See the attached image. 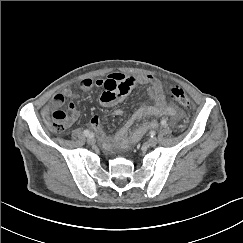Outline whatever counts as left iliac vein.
<instances>
[{"mask_svg": "<svg viewBox=\"0 0 243 243\" xmlns=\"http://www.w3.org/2000/svg\"><path fill=\"white\" fill-rule=\"evenodd\" d=\"M147 146L154 147L157 145V139L156 138H149L146 142Z\"/></svg>", "mask_w": 243, "mask_h": 243, "instance_id": "1", "label": "left iliac vein"}]
</instances>
